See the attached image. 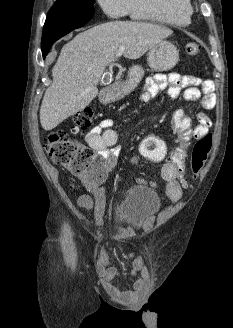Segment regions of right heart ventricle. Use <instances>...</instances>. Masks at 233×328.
Segmentation results:
<instances>
[{
	"mask_svg": "<svg viewBox=\"0 0 233 328\" xmlns=\"http://www.w3.org/2000/svg\"><path fill=\"white\" fill-rule=\"evenodd\" d=\"M192 11L190 0H128L127 13L136 20L187 26Z\"/></svg>",
	"mask_w": 233,
	"mask_h": 328,
	"instance_id": "obj_1",
	"label": "right heart ventricle"
}]
</instances>
